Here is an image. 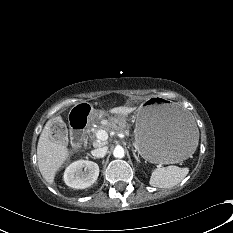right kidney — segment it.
Masks as SVG:
<instances>
[{
  "label": "right kidney",
  "mask_w": 233,
  "mask_h": 233,
  "mask_svg": "<svg viewBox=\"0 0 233 233\" xmlns=\"http://www.w3.org/2000/svg\"><path fill=\"white\" fill-rule=\"evenodd\" d=\"M98 175L99 166L97 163L88 160H78L66 168L64 181L71 188L84 189L93 185Z\"/></svg>",
  "instance_id": "obj_1"
}]
</instances>
